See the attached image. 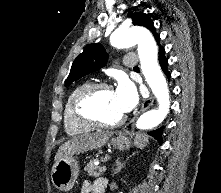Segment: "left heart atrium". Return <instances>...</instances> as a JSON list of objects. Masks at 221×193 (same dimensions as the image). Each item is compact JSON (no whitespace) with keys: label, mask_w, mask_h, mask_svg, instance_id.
Wrapping results in <instances>:
<instances>
[{"label":"left heart atrium","mask_w":221,"mask_h":193,"mask_svg":"<svg viewBox=\"0 0 221 193\" xmlns=\"http://www.w3.org/2000/svg\"><path fill=\"white\" fill-rule=\"evenodd\" d=\"M114 97L123 114L133 110L139 100L136 87L127 79H121L118 82Z\"/></svg>","instance_id":"obj_1"}]
</instances>
